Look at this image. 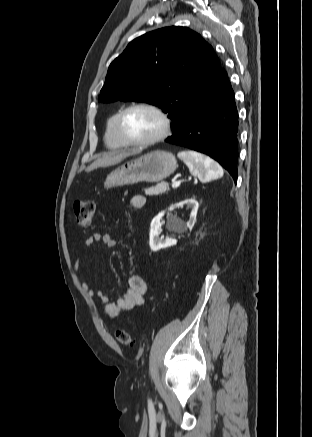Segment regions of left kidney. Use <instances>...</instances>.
Masks as SVG:
<instances>
[{
  "label": "left kidney",
  "instance_id": "5707ae66",
  "mask_svg": "<svg viewBox=\"0 0 312 437\" xmlns=\"http://www.w3.org/2000/svg\"><path fill=\"white\" fill-rule=\"evenodd\" d=\"M188 205L192 211L190 214V218L188 222L185 224L180 218L175 215L169 214L167 217V229L170 231H174L177 233H182L186 230V228L192 229L195 222L199 204L196 201L195 197L186 199L177 204H173L170 206L169 211H172L176 206ZM165 212H160L157 216H155L150 225V233H149V246L152 251H158L163 248L171 247L177 244V240L172 237H160L161 230V219L164 216Z\"/></svg>",
  "mask_w": 312,
  "mask_h": 437
}]
</instances>
